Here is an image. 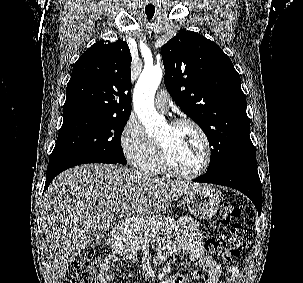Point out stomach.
<instances>
[{
    "mask_svg": "<svg viewBox=\"0 0 303 283\" xmlns=\"http://www.w3.org/2000/svg\"><path fill=\"white\" fill-rule=\"evenodd\" d=\"M221 193L207 185H200L188 190L186 206L188 211L200 219H210L218 211Z\"/></svg>",
    "mask_w": 303,
    "mask_h": 283,
    "instance_id": "1",
    "label": "stomach"
}]
</instances>
